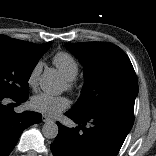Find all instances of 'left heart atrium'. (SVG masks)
Returning a JSON list of instances; mask_svg holds the SVG:
<instances>
[{"mask_svg": "<svg viewBox=\"0 0 156 156\" xmlns=\"http://www.w3.org/2000/svg\"><path fill=\"white\" fill-rule=\"evenodd\" d=\"M30 104L35 111L53 117L67 109L70 106V101L65 96L39 93L32 97Z\"/></svg>", "mask_w": 156, "mask_h": 156, "instance_id": "1", "label": "left heart atrium"}]
</instances>
